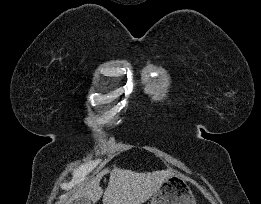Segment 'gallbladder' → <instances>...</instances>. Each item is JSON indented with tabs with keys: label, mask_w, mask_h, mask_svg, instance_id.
Instances as JSON below:
<instances>
[{
	"label": "gallbladder",
	"mask_w": 261,
	"mask_h": 204,
	"mask_svg": "<svg viewBox=\"0 0 261 204\" xmlns=\"http://www.w3.org/2000/svg\"><path fill=\"white\" fill-rule=\"evenodd\" d=\"M72 204H91V201L86 198H79L74 200Z\"/></svg>",
	"instance_id": "bac80fb5"
}]
</instances>
